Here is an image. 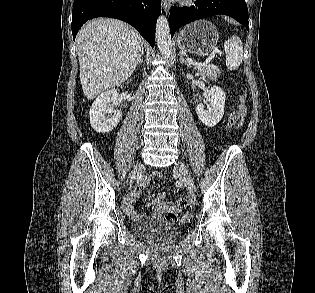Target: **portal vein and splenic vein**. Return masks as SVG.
I'll return each instance as SVG.
<instances>
[{"instance_id": "1", "label": "portal vein and splenic vein", "mask_w": 315, "mask_h": 293, "mask_svg": "<svg viewBox=\"0 0 315 293\" xmlns=\"http://www.w3.org/2000/svg\"><path fill=\"white\" fill-rule=\"evenodd\" d=\"M187 62L192 65L193 67H197V66H205V63H196L194 62L192 59H187Z\"/></svg>"}]
</instances>
